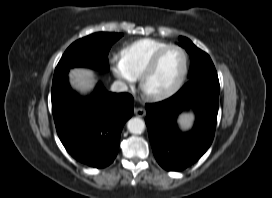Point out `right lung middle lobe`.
<instances>
[{
  "mask_svg": "<svg viewBox=\"0 0 272 198\" xmlns=\"http://www.w3.org/2000/svg\"><path fill=\"white\" fill-rule=\"evenodd\" d=\"M122 33H94L75 41L63 54L53 77V82L65 77L70 68L85 66L98 70H108V53Z\"/></svg>",
  "mask_w": 272,
  "mask_h": 198,
  "instance_id": "dd1d6c3e",
  "label": "right lung middle lobe"
}]
</instances>
